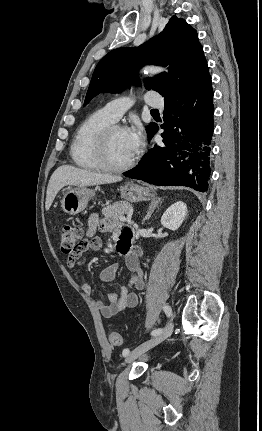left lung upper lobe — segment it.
I'll return each instance as SVG.
<instances>
[{"instance_id":"1","label":"left lung upper lobe","mask_w":262,"mask_h":431,"mask_svg":"<svg viewBox=\"0 0 262 431\" xmlns=\"http://www.w3.org/2000/svg\"><path fill=\"white\" fill-rule=\"evenodd\" d=\"M144 64L169 65V73L145 80V87L165 98L191 91L210 77L196 31L185 20L173 16L164 30L138 48H118L97 64L84 105L101 92H120L138 83L135 71ZM154 123L147 126L150 136Z\"/></svg>"}]
</instances>
